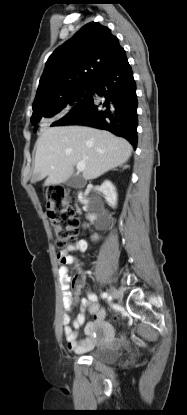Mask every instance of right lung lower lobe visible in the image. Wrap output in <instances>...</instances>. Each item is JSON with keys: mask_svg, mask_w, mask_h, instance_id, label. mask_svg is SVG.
<instances>
[{"mask_svg": "<svg viewBox=\"0 0 187 415\" xmlns=\"http://www.w3.org/2000/svg\"><path fill=\"white\" fill-rule=\"evenodd\" d=\"M104 97L94 101L93 95ZM84 125L108 130L137 145L136 83L123 51L92 83L91 94L52 126Z\"/></svg>", "mask_w": 187, "mask_h": 415, "instance_id": "1", "label": "right lung lower lobe"}]
</instances>
